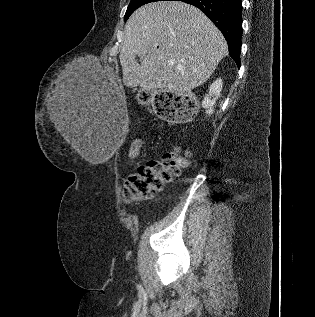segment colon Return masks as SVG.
<instances>
[{
	"label": "colon",
	"mask_w": 315,
	"mask_h": 317,
	"mask_svg": "<svg viewBox=\"0 0 315 317\" xmlns=\"http://www.w3.org/2000/svg\"><path fill=\"white\" fill-rule=\"evenodd\" d=\"M154 109L158 117L166 121H187L194 117L196 102L190 95L172 91H159L153 96ZM141 152V140H135L129 150L131 158L136 159ZM189 152L177 148L166 153L159 161L151 160L128 175L124 194L127 202L150 198L159 192L165 183L180 174L187 165Z\"/></svg>",
	"instance_id": "colon-1"
}]
</instances>
